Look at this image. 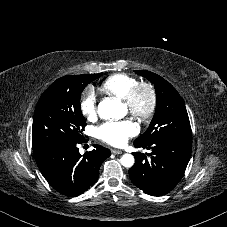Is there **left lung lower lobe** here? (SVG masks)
I'll list each match as a JSON object with an SVG mask.
<instances>
[{"label":"left lung lower lobe","mask_w":227,"mask_h":227,"mask_svg":"<svg viewBox=\"0 0 227 227\" xmlns=\"http://www.w3.org/2000/svg\"><path fill=\"white\" fill-rule=\"evenodd\" d=\"M150 153H133L135 164L129 169L132 183L152 196L169 193L181 180L189 162L192 137L181 136L155 141L150 144H135Z\"/></svg>","instance_id":"0a47b994"}]
</instances>
